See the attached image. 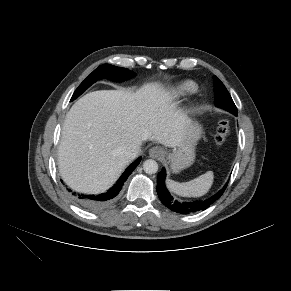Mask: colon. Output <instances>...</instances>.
I'll use <instances>...</instances> for the list:
<instances>
[{"mask_svg": "<svg viewBox=\"0 0 291 291\" xmlns=\"http://www.w3.org/2000/svg\"><path fill=\"white\" fill-rule=\"evenodd\" d=\"M231 128L230 123L226 119H222L217 127L216 134H215V144L217 146H223L225 145L230 137Z\"/></svg>", "mask_w": 291, "mask_h": 291, "instance_id": "1", "label": "colon"}]
</instances>
